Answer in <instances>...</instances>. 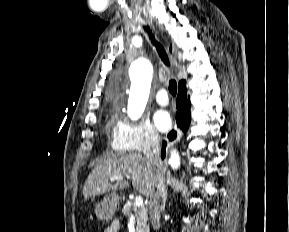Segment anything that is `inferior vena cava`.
<instances>
[{
  "instance_id": "obj_1",
  "label": "inferior vena cava",
  "mask_w": 289,
  "mask_h": 232,
  "mask_svg": "<svg viewBox=\"0 0 289 232\" xmlns=\"http://www.w3.org/2000/svg\"><path fill=\"white\" fill-rule=\"evenodd\" d=\"M145 156L152 166L158 171L160 170L156 176L154 190L150 194L149 201L151 224L154 230H158L160 228V215L165 209L167 198L164 170L160 157V138L158 135H153L151 138L145 151Z\"/></svg>"
}]
</instances>
